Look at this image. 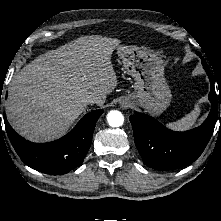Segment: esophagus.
I'll use <instances>...</instances> for the list:
<instances>
[{
	"label": "esophagus",
	"mask_w": 221,
	"mask_h": 221,
	"mask_svg": "<svg viewBox=\"0 0 221 221\" xmlns=\"http://www.w3.org/2000/svg\"><path fill=\"white\" fill-rule=\"evenodd\" d=\"M122 106H123V107H128L129 104H128L127 102H123V103H122Z\"/></svg>",
	"instance_id": "34e87169"
}]
</instances>
